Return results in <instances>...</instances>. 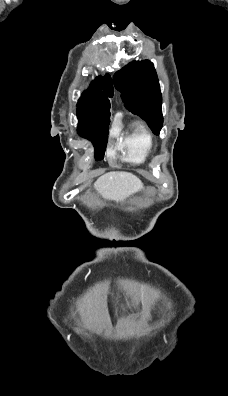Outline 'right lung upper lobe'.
I'll use <instances>...</instances> for the list:
<instances>
[{"instance_id": "cb5924a9", "label": "right lung upper lobe", "mask_w": 228, "mask_h": 396, "mask_svg": "<svg viewBox=\"0 0 228 396\" xmlns=\"http://www.w3.org/2000/svg\"><path fill=\"white\" fill-rule=\"evenodd\" d=\"M113 96V86L108 74L98 76L84 92L77 104V116L80 119L96 118L110 113V102L108 97Z\"/></svg>"}]
</instances>
